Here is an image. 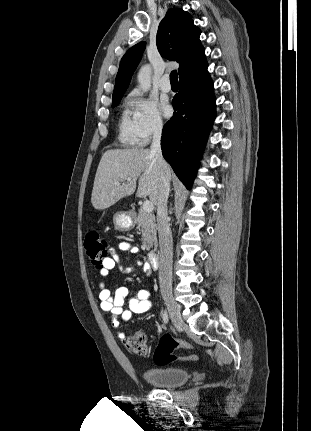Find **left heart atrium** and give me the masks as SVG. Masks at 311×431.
Masks as SVG:
<instances>
[{"instance_id":"1","label":"left heart atrium","mask_w":311,"mask_h":431,"mask_svg":"<svg viewBox=\"0 0 311 431\" xmlns=\"http://www.w3.org/2000/svg\"><path fill=\"white\" fill-rule=\"evenodd\" d=\"M163 113L166 117H169L172 113V107L168 100H164L162 103Z\"/></svg>"}]
</instances>
